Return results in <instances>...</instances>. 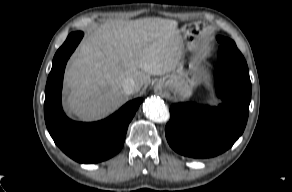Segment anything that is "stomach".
I'll use <instances>...</instances> for the list:
<instances>
[{
  "mask_svg": "<svg viewBox=\"0 0 292 192\" xmlns=\"http://www.w3.org/2000/svg\"><path fill=\"white\" fill-rule=\"evenodd\" d=\"M184 39L190 52L200 54L203 51V44L197 29L188 30ZM201 76L202 71L197 64L182 62L174 73L161 78L156 83L155 89L174 98H188L201 80Z\"/></svg>",
  "mask_w": 292,
  "mask_h": 192,
  "instance_id": "obj_1",
  "label": "stomach"
}]
</instances>
